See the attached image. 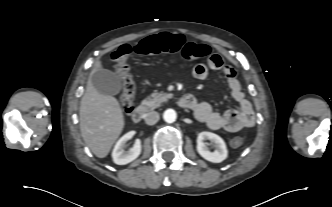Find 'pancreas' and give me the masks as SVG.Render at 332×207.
<instances>
[{
	"label": "pancreas",
	"instance_id": "1",
	"mask_svg": "<svg viewBox=\"0 0 332 207\" xmlns=\"http://www.w3.org/2000/svg\"><path fill=\"white\" fill-rule=\"evenodd\" d=\"M171 97L172 95L167 93H153L141 102V106L147 110H153Z\"/></svg>",
	"mask_w": 332,
	"mask_h": 207
}]
</instances>
